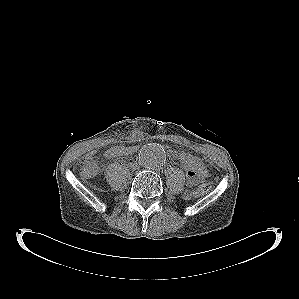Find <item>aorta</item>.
<instances>
[{
	"instance_id": "762f6f07",
	"label": "aorta",
	"mask_w": 299,
	"mask_h": 299,
	"mask_svg": "<svg viewBox=\"0 0 299 299\" xmlns=\"http://www.w3.org/2000/svg\"><path fill=\"white\" fill-rule=\"evenodd\" d=\"M141 164L147 169H157L165 162V151L158 144H147L139 153Z\"/></svg>"
}]
</instances>
